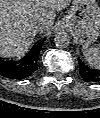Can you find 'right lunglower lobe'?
Segmentation results:
<instances>
[{"label":"right lung lower lobe","instance_id":"right-lung-lower-lobe-1","mask_svg":"<svg viewBox=\"0 0 100 118\" xmlns=\"http://www.w3.org/2000/svg\"><path fill=\"white\" fill-rule=\"evenodd\" d=\"M40 47L41 43L37 44L31 53L19 61H1L0 74L10 79H24L31 76L38 69Z\"/></svg>","mask_w":100,"mask_h":118}]
</instances>
